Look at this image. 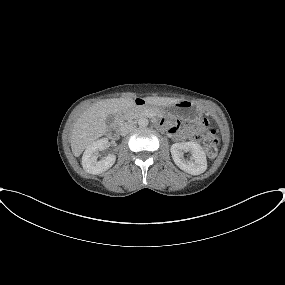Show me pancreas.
<instances>
[{
    "mask_svg": "<svg viewBox=\"0 0 285 285\" xmlns=\"http://www.w3.org/2000/svg\"><path fill=\"white\" fill-rule=\"evenodd\" d=\"M156 113L153 109L147 108H130L125 111L123 119L125 120H132L141 116H145L148 113Z\"/></svg>",
    "mask_w": 285,
    "mask_h": 285,
    "instance_id": "pancreas-1",
    "label": "pancreas"
}]
</instances>
